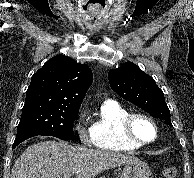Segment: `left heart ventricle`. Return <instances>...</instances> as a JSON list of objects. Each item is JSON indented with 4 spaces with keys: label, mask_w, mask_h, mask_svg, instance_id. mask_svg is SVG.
<instances>
[{
    "label": "left heart ventricle",
    "mask_w": 194,
    "mask_h": 178,
    "mask_svg": "<svg viewBox=\"0 0 194 178\" xmlns=\"http://www.w3.org/2000/svg\"><path fill=\"white\" fill-rule=\"evenodd\" d=\"M133 132L136 137L143 141H150L154 138L155 132L151 124L143 119H137L133 124Z\"/></svg>",
    "instance_id": "1"
}]
</instances>
